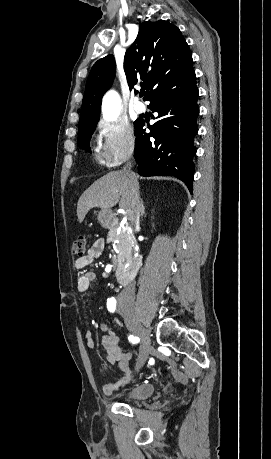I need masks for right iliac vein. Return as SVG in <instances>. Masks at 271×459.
Masks as SVG:
<instances>
[{
  "mask_svg": "<svg viewBox=\"0 0 271 459\" xmlns=\"http://www.w3.org/2000/svg\"><path fill=\"white\" fill-rule=\"evenodd\" d=\"M120 312L122 316L124 317L125 322L127 326L129 327V329L141 339V354L138 358V363L135 368V370L138 371L139 368L145 364L146 360L148 359L150 355L151 341L146 336L144 332V328L140 325V323L136 319L135 314L132 309H126V308L120 307Z\"/></svg>",
  "mask_w": 271,
  "mask_h": 459,
  "instance_id": "63e3f726",
  "label": "right iliac vein"
}]
</instances>
